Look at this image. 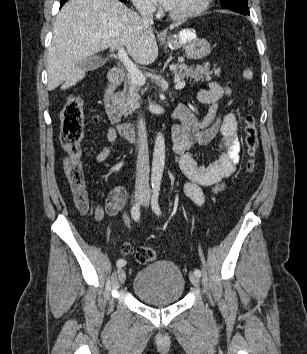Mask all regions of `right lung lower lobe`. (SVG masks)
Segmentation results:
<instances>
[{
  "instance_id": "1",
  "label": "right lung lower lobe",
  "mask_w": 307,
  "mask_h": 354,
  "mask_svg": "<svg viewBox=\"0 0 307 354\" xmlns=\"http://www.w3.org/2000/svg\"><path fill=\"white\" fill-rule=\"evenodd\" d=\"M65 2H67V0H61L60 7H62Z\"/></svg>"
}]
</instances>
